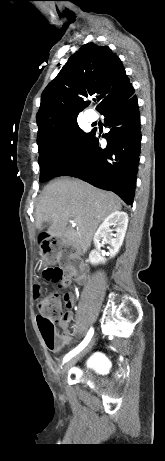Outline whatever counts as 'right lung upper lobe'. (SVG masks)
<instances>
[{
	"mask_svg": "<svg viewBox=\"0 0 165 461\" xmlns=\"http://www.w3.org/2000/svg\"><path fill=\"white\" fill-rule=\"evenodd\" d=\"M134 89L120 58L107 46L83 45L44 89L36 115L37 139L61 125L75 120L88 106L85 98L95 95L96 110L104 112L126 101Z\"/></svg>",
	"mask_w": 165,
	"mask_h": 461,
	"instance_id": "cb5924a9",
	"label": "right lung upper lobe"
}]
</instances>
